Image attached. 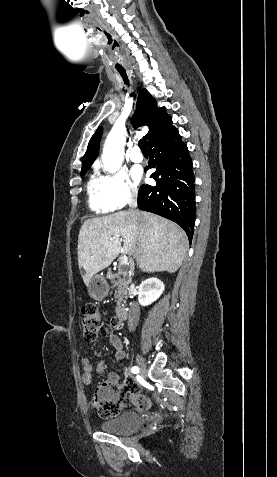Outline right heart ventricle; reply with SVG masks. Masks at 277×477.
Returning a JSON list of instances; mask_svg holds the SVG:
<instances>
[{"mask_svg":"<svg viewBox=\"0 0 277 477\" xmlns=\"http://www.w3.org/2000/svg\"><path fill=\"white\" fill-rule=\"evenodd\" d=\"M87 195L89 207L95 213L104 214L112 210L104 194L102 179L95 174L88 180Z\"/></svg>","mask_w":277,"mask_h":477,"instance_id":"1","label":"right heart ventricle"}]
</instances>
